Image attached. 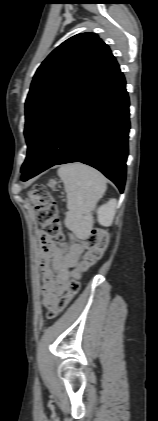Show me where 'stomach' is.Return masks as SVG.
<instances>
[{"label": "stomach", "instance_id": "stomach-1", "mask_svg": "<svg viewBox=\"0 0 158 421\" xmlns=\"http://www.w3.org/2000/svg\"><path fill=\"white\" fill-rule=\"evenodd\" d=\"M48 184H49L50 187L54 188L55 185H56V181L55 180H50Z\"/></svg>", "mask_w": 158, "mask_h": 421}]
</instances>
